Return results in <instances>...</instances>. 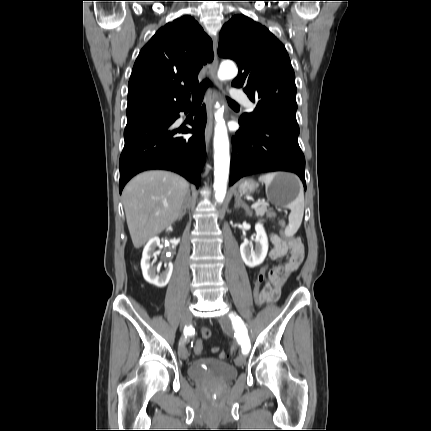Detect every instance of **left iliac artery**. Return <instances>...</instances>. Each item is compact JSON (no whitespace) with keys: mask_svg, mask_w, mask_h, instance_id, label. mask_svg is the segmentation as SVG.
Wrapping results in <instances>:
<instances>
[{"mask_svg":"<svg viewBox=\"0 0 431 431\" xmlns=\"http://www.w3.org/2000/svg\"><path fill=\"white\" fill-rule=\"evenodd\" d=\"M229 317L232 319L233 324L236 325V327L241 332L238 338V342L241 344L242 353L246 355L250 350V340L244 322L241 320L240 317L235 316L234 314H230Z\"/></svg>","mask_w":431,"mask_h":431,"instance_id":"1","label":"left iliac artery"}]
</instances>
